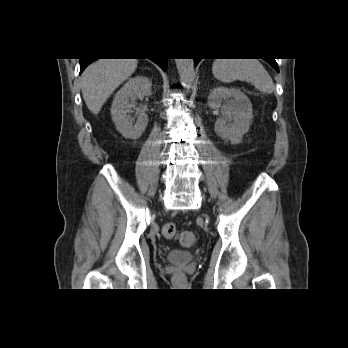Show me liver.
<instances>
[{
    "label": "liver",
    "instance_id": "6515ba94",
    "mask_svg": "<svg viewBox=\"0 0 348 348\" xmlns=\"http://www.w3.org/2000/svg\"><path fill=\"white\" fill-rule=\"evenodd\" d=\"M137 59H98L89 65L80 79L83 99L97 114L114 90L137 68Z\"/></svg>",
    "mask_w": 348,
    "mask_h": 348
}]
</instances>
